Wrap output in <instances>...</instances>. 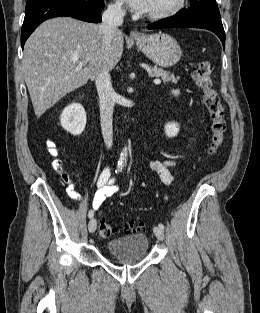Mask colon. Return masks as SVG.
<instances>
[{
    "label": "colon",
    "instance_id": "1",
    "mask_svg": "<svg viewBox=\"0 0 260 313\" xmlns=\"http://www.w3.org/2000/svg\"><path fill=\"white\" fill-rule=\"evenodd\" d=\"M193 79L202 90L203 102L209 112L211 140L208 151L211 155L218 152L222 145L227 130L226 113L220 96L214 88L211 77V65L208 61H201L193 72ZM124 232H135L144 229L142 223L129 222L124 226ZM118 233L117 228L106 223L100 222L99 235L102 238H109Z\"/></svg>",
    "mask_w": 260,
    "mask_h": 313
}]
</instances>
